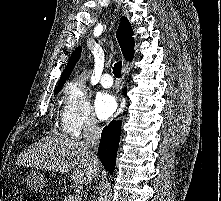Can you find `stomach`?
Listing matches in <instances>:
<instances>
[{"mask_svg": "<svg viewBox=\"0 0 221 201\" xmlns=\"http://www.w3.org/2000/svg\"><path fill=\"white\" fill-rule=\"evenodd\" d=\"M18 181L19 184H25L26 188L33 192L41 191L45 185L43 175L35 171L30 172L26 177L21 176Z\"/></svg>", "mask_w": 221, "mask_h": 201, "instance_id": "1", "label": "stomach"}]
</instances>
